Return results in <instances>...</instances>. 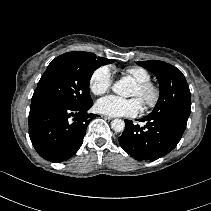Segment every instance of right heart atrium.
Segmentation results:
<instances>
[{"label": "right heart atrium", "mask_w": 211, "mask_h": 211, "mask_svg": "<svg viewBox=\"0 0 211 211\" xmlns=\"http://www.w3.org/2000/svg\"><path fill=\"white\" fill-rule=\"evenodd\" d=\"M113 84V77L108 66H100L93 71L89 79V89L95 95L107 92Z\"/></svg>", "instance_id": "1"}]
</instances>
